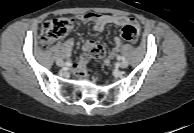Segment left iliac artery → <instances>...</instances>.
Here are the masks:
<instances>
[{
	"instance_id": "1",
	"label": "left iliac artery",
	"mask_w": 194,
	"mask_h": 133,
	"mask_svg": "<svg viewBox=\"0 0 194 133\" xmlns=\"http://www.w3.org/2000/svg\"><path fill=\"white\" fill-rule=\"evenodd\" d=\"M118 60H125V58L123 56H118Z\"/></svg>"
}]
</instances>
